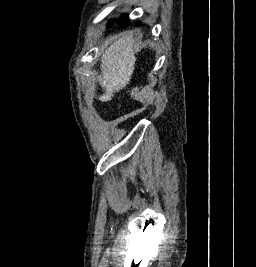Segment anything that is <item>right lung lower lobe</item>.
Returning <instances> with one entry per match:
<instances>
[{
  "mask_svg": "<svg viewBox=\"0 0 256 267\" xmlns=\"http://www.w3.org/2000/svg\"><path fill=\"white\" fill-rule=\"evenodd\" d=\"M129 25V20L127 19V20H125L124 22H122V23H119V26H121V27H127ZM140 25V22H136L135 23V26H139Z\"/></svg>",
  "mask_w": 256,
  "mask_h": 267,
  "instance_id": "98d812e1",
  "label": "right lung lower lobe"
}]
</instances>
